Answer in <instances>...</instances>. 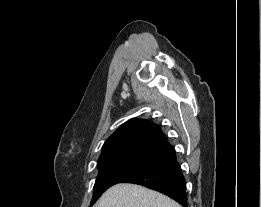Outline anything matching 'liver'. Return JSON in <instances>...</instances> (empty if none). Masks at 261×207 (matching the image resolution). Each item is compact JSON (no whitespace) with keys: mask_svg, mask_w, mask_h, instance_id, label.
I'll return each instance as SVG.
<instances>
[{"mask_svg":"<svg viewBox=\"0 0 261 207\" xmlns=\"http://www.w3.org/2000/svg\"><path fill=\"white\" fill-rule=\"evenodd\" d=\"M94 207H181L169 197L140 185L121 183L109 188Z\"/></svg>","mask_w":261,"mask_h":207,"instance_id":"liver-1","label":"liver"}]
</instances>
